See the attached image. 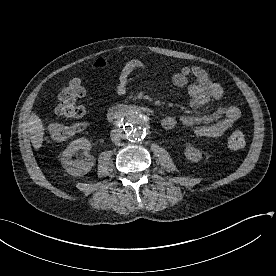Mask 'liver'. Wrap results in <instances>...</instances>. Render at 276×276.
I'll use <instances>...</instances> for the list:
<instances>
[{"label": "liver", "mask_w": 276, "mask_h": 276, "mask_svg": "<svg viewBox=\"0 0 276 276\" xmlns=\"http://www.w3.org/2000/svg\"><path fill=\"white\" fill-rule=\"evenodd\" d=\"M28 131L30 133L31 143L33 147L38 150L43 143L44 137V126L39 118L35 113L31 114L28 119Z\"/></svg>", "instance_id": "obj_1"}]
</instances>
